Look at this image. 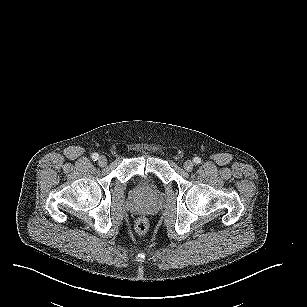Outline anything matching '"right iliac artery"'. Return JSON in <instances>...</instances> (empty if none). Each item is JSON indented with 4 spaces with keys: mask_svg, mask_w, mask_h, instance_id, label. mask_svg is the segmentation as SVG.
<instances>
[{
    "mask_svg": "<svg viewBox=\"0 0 307 307\" xmlns=\"http://www.w3.org/2000/svg\"><path fill=\"white\" fill-rule=\"evenodd\" d=\"M92 159H93L94 161H97V160L99 159V155H98L97 153H94V154L92 155Z\"/></svg>",
    "mask_w": 307,
    "mask_h": 307,
    "instance_id": "82829eb1",
    "label": "right iliac artery"
}]
</instances>
